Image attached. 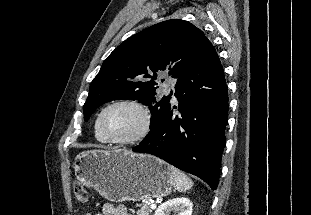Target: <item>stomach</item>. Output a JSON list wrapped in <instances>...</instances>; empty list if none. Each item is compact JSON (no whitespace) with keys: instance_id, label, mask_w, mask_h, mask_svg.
<instances>
[{"instance_id":"stomach-1","label":"stomach","mask_w":311,"mask_h":215,"mask_svg":"<svg viewBox=\"0 0 311 215\" xmlns=\"http://www.w3.org/2000/svg\"><path fill=\"white\" fill-rule=\"evenodd\" d=\"M74 169L79 182L113 202L160 199L173 186L164 161L124 149L81 152L74 159Z\"/></svg>"}]
</instances>
